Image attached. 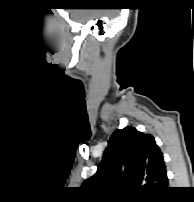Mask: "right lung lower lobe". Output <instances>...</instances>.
<instances>
[{
    "mask_svg": "<svg viewBox=\"0 0 194 202\" xmlns=\"http://www.w3.org/2000/svg\"><path fill=\"white\" fill-rule=\"evenodd\" d=\"M164 194V191L161 192L160 194L156 195V196H162Z\"/></svg>",
    "mask_w": 194,
    "mask_h": 202,
    "instance_id": "right-lung-lower-lobe-1",
    "label": "right lung lower lobe"
}]
</instances>
